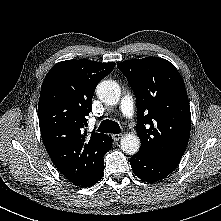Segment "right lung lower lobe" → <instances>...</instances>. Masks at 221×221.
<instances>
[{"label": "right lung lower lobe", "instance_id": "1", "mask_svg": "<svg viewBox=\"0 0 221 221\" xmlns=\"http://www.w3.org/2000/svg\"><path fill=\"white\" fill-rule=\"evenodd\" d=\"M112 148V138H110L108 151ZM104 171V163L101 165V167L97 170V172L84 184L80 185V187H89L94 184H96L103 176Z\"/></svg>", "mask_w": 221, "mask_h": 221}]
</instances>
